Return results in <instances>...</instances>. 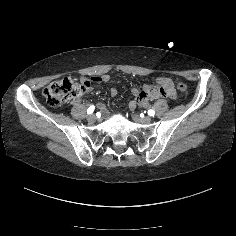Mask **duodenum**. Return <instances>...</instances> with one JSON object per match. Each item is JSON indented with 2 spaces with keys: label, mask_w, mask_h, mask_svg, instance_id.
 Returning a JSON list of instances; mask_svg holds the SVG:
<instances>
[{
  "label": "duodenum",
  "mask_w": 236,
  "mask_h": 236,
  "mask_svg": "<svg viewBox=\"0 0 236 236\" xmlns=\"http://www.w3.org/2000/svg\"><path fill=\"white\" fill-rule=\"evenodd\" d=\"M146 93L148 95H146ZM145 92H143L142 94L138 95V99L142 100V99H146L147 96H153L155 98H158V97H172L173 96V91H172V88L170 86L169 83H162L161 85V89L160 90H156V91H153V92H150L149 90H147Z\"/></svg>",
  "instance_id": "1"
}]
</instances>
